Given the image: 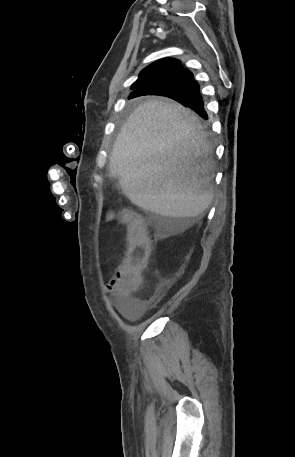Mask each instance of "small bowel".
I'll list each match as a JSON object with an SVG mask.
<instances>
[{"mask_svg":"<svg viewBox=\"0 0 295 457\" xmlns=\"http://www.w3.org/2000/svg\"><path fill=\"white\" fill-rule=\"evenodd\" d=\"M120 281L113 279L110 282L111 288L116 295L117 306L122 314L127 318H135L142 315L149 307L148 302L142 300H136L130 295H122L119 292Z\"/></svg>","mask_w":295,"mask_h":457,"instance_id":"c3829d8e","label":"small bowel"}]
</instances>
